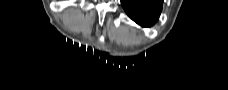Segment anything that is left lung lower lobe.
Segmentation results:
<instances>
[{
    "instance_id": "obj_1",
    "label": "left lung lower lobe",
    "mask_w": 228,
    "mask_h": 90,
    "mask_svg": "<svg viewBox=\"0 0 228 90\" xmlns=\"http://www.w3.org/2000/svg\"><path fill=\"white\" fill-rule=\"evenodd\" d=\"M128 16L141 26L154 24L162 10V0H121Z\"/></svg>"
}]
</instances>
